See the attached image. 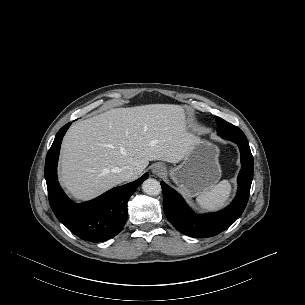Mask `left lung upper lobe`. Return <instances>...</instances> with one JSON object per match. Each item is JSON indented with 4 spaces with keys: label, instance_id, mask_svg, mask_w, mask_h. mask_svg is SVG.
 <instances>
[{
    "label": "left lung upper lobe",
    "instance_id": "left-lung-upper-lobe-1",
    "mask_svg": "<svg viewBox=\"0 0 305 305\" xmlns=\"http://www.w3.org/2000/svg\"><path fill=\"white\" fill-rule=\"evenodd\" d=\"M216 123L218 135L224 138L247 140L245 134L238 127L226 122L219 117L216 118Z\"/></svg>",
    "mask_w": 305,
    "mask_h": 305
}]
</instances>
